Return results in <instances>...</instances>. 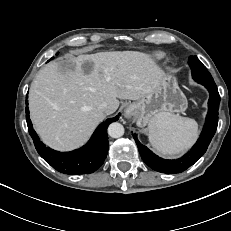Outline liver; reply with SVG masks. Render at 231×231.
<instances>
[{
    "label": "liver",
    "instance_id": "liver-1",
    "mask_svg": "<svg viewBox=\"0 0 231 231\" xmlns=\"http://www.w3.org/2000/svg\"><path fill=\"white\" fill-rule=\"evenodd\" d=\"M165 74L143 52L113 51L69 57L39 70L29 93V109L42 141L55 150L82 145L119 99L138 101L153 93Z\"/></svg>",
    "mask_w": 231,
    "mask_h": 231
}]
</instances>
